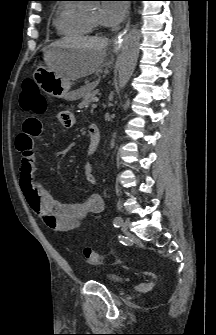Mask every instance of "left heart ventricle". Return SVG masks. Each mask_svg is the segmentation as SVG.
<instances>
[{"instance_id":"1","label":"left heart ventricle","mask_w":216,"mask_h":335,"mask_svg":"<svg viewBox=\"0 0 216 335\" xmlns=\"http://www.w3.org/2000/svg\"><path fill=\"white\" fill-rule=\"evenodd\" d=\"M99 10L98 9H94L90 12L87 13V15L93 20V21H96V22H99Z\"/></svg>"}]
</instances>
